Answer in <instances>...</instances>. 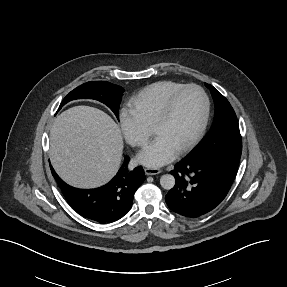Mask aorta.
Masks as SVG:
<instances>
[{
  "instance_id": "obj_1",
  "label": "aorta",
  "mask_w": 287,
  "mask_h": 287,
  "mask_svg": "<svg viewBox=\"0 0 287 287\" xmlns=\"http://www.w3.org/2000/svg\"><path fill=\"white\" fill-rule=\"evenodd\" d=\"M160 185L166 190H170L175 185V178L171 174H165L160 178Z\"/></svg>"
}]
</instances>
